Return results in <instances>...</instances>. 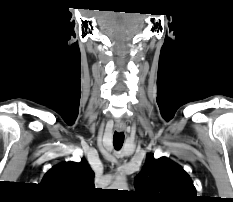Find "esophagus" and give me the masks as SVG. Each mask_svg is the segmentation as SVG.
<instances>
[{
    "label": "esophagus",
    "instance_id": "esophagus-1",
    "mask_svg": "<svg viewBox=\"0 0 233 202\" xmlns=\"http://www.w3.org/2000/svg\"><path fill=\"white\" fill-rule=\"evenodd\" d=\"M115 128H116L117 131H122V130L125 129V124H122V123L116 124Z\"/></svg>",
    "mask_w": 233,
    "mask_h": 202
}]
</instances>
